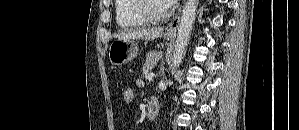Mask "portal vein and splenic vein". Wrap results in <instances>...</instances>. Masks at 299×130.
<instances>
[{"instance_id":"1","label":"portal vein and splenic vein","mask_w":299,"mask_h":130,"mask_svg":"<svg viewBox=\"0 0 299 130\" xmlns=\"http://www.w3.org/2000/svg\"><path fill=\"white\" fill-rule=\"evenodd\" d=\"M153 77H154L153 73H149V74L145 75V79H147V80H151Z\"/></svg>"}]
</instances>
